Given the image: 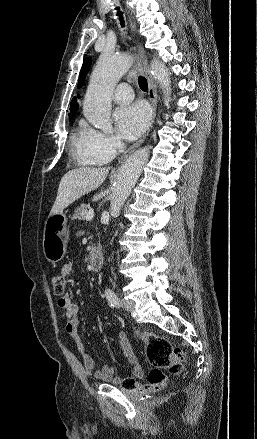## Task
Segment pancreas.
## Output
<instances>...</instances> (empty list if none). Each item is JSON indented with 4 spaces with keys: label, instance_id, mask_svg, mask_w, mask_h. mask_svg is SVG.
<instances>
[{
    "label": "pancreas",
    "instance_id": "1",
    "mask_svg": "<svg viewBox=\"0 0 257 439\" xmlns=\"http://www.w3.org/2000/svg\"><path fill=\"white\" fill-rule=\"evenodd\" d=\"M88 205L82 204L81 206H78L74 212V215L72 219H78V220H84L87 211Z\"/></svg>",
    "mask_w": 257,
    "mask_h": 439
}]
</instances>
